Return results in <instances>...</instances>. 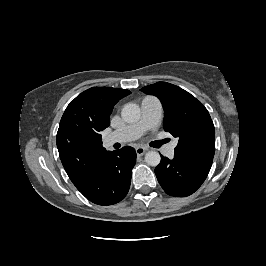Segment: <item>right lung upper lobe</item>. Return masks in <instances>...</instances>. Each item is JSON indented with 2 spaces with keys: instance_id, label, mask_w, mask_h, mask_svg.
Masks as SVG:
<instances>
[{
  "instance_id": "1",
  "label": "right lung upper lobe",
  "mask_w": 266,
  "mask_h": 266,
  "mask_svg": "<svg viewBox=\"0 0 266 266\" xmlns=\"http://www.w3.org/2000/svg\"><path fill=\"white\" fill-rule=\"evenodd\" d=\"M129 90L92 87L66 108L57 132V148L69 178L81 191L86 188L110 152L102 146L101 131L110 125L114 105Z\"/></svg>"
}]
</instances>
